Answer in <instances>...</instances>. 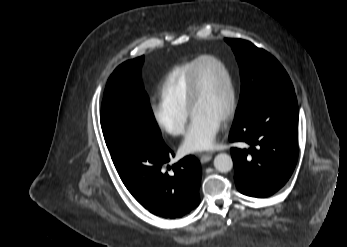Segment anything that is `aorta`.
<instances>
[{
  "instance_id": "obj_1",
  "label": "aorta",
  "mask_w": 347,
  "mask_h": 247,
  "mask_svg": "<svg viewBox=\"0 0 347 247\" xmlns=\"http://www.w3.org/2000/svg\"><path fill=\"white\" fill-rule=\"evenodd\" d=\"M214 167L219 172H229L233 168V160L230 155L220 153L214 158Z\"/></svg>"
}]
</instances>
